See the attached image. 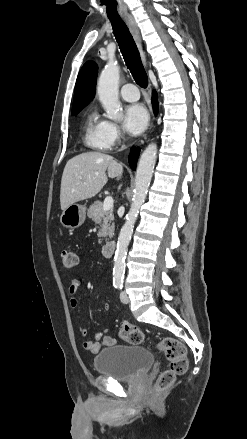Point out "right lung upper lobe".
<instances>
[{"mask_svg": "<svg viewBox=\"0 0 247 439\" xmlns=\"http://www.w3.org/2000/svg\"><path fill=\"white\" fill-rule=\"evenodd\" d=\"M96 76L97 65L92 61L86 62L77 77L72 112L83 109L94 98Z\"/></svg>", "mask_w": 247, "mask_h": 439, "instance_id": "1", "label": "right lung upper lobe"}]
</instances>
